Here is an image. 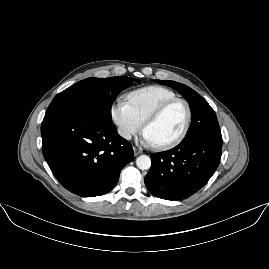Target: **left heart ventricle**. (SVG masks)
<instances>
[{"label":"left heart ventricle","instance_id":"b2bd125f","mask_svg":"<svg viewBox=\"0 0 269 269\" xmlns=\"http://www.w3.org/2000/svg\"><path fill=\"white\" fill-rule=\"evenodd\" d=\"M185 121V107L181 103L174 104L148 126L145 137L151 144L163 145L180 134Z\"/></svg>","mask_w":269,"mask_h":269}]
</instances>
